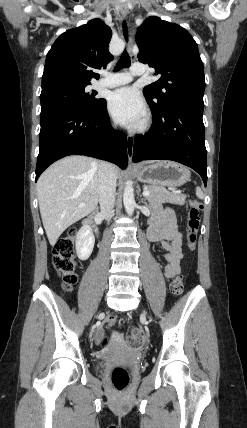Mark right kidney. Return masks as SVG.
Returning a JSON list of instances; mask_svg holds the SVG:
<instances>
[{
  "label": "right kidney",
  "instance_id": "1",
  "mask_svg": "<svg viewBox=\"0 0 247 428\" xmlns=\"http://www.w3.org/2000/svg\"><path fill=\"white\" fill-rule=\"evenodd\" d=\"M95 237L89 226L84 225L76 235V253L80 260H87L94 248Z\"/></svg>",
  "mask_w": 247,
  "mask_h": 428
}]
</instances>
